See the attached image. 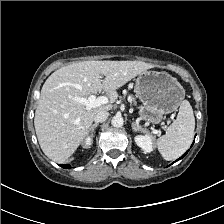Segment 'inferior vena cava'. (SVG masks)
I'll return each instance as SVG.
<instances>
[{
    "mask_svg": "<svg viewBox=\"0 0 224 224\" xmlns=\"http://www.w3.org/2000/svg\"><path fill=\"white\" fill-rule=\"evenodd\" d=\"M109 116V113L107 111H99L95 116H94V121L96 123H103L107 120Z\"/></svg>",
    "mask_w": 224,
    "mask_h": 224,
    "instance_id": "inferior-vena-cava-1",
    "label": "inferior vena cava"
}]
</instances>
